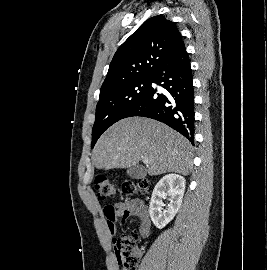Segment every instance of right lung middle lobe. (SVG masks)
<instances>
[{
	"label": "right lung middle lobe",
	"mask_w": 267,
	"mask_h": 270,
	"mask_svg": "<svg viewBox=\"0 0 267 270\" xmlns=\"http://www.w3.org/2000/svg\"><path fill=\"white\" fill-rule=\"evenodd\" d=\"M151 86V77L123 82L100 91L96 107V118L92 129L94 147L101 134L125 115L144 97Z\"/></svg>",
	"instance_id": "1"
}]
</instances>
